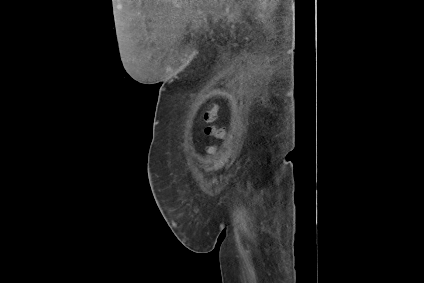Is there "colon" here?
I'll return each instance as SVG.
<instances>
[{"label": "colon", "mask_w": 424, "mask_h": 283, "mask_svg": "<svg viewBox=\"0 0 424 283\" xmlns=\"http://www.w3.org/2000/svg\"><path fill=\"white\" fill-rule=\"evenodd\" d=\"M217 118L218 106L217 104H212L203 113V121L206 123L205 133L213 140V143L206 149L207 155H213L218 144L222 142L226 136L225 128L220 127L215 123Z\"/></svg>", "instance_id": "colon-1"}]
</instances>
